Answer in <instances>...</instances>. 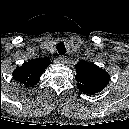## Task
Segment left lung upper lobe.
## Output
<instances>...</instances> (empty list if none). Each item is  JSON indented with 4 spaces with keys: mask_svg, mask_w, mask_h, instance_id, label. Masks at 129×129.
Wrapping results in <instances>:
<instances>
[{
    "mask_svg": "<svg viewBox=\"0 0 129 129\" xmlns=\"http://www.w3.org/2000/svg\"><path fill=\"white\" fill-rule=\"evenodd\" d=\"M109 79L108 73L95 64L81 61L77 65L76 80L79 82L78 87L85 93L94 94L102 90Z\"/></svg>",
    "mask_w": 129,
    "mask_h": 129,
    "instance_id": "1",
    "label": "left lung upper lobe"
}]
</instances>
